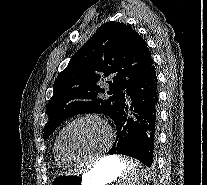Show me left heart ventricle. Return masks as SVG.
<instances>
[{"label":"left heart ventricle","instance_id":"1","mask_svg":"<svg viewBox=\"0 0 207 185\" xmlns=\"http://www.w3.org/2000/svg\"><path fill=\"white\" fill-rule=\"evenodd\" d=\"M110 139L107 128L96 120H83L76 123L67 135L69 150L76 156L96 153Z\"/></svg>","mask_w":207,"mask_h":185}]
</instances>
